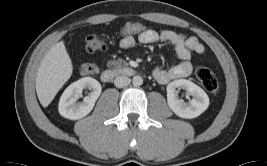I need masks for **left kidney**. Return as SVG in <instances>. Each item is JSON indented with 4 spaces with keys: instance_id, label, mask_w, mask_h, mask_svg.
I'll use <instances>...</instances> for the list:
<instances>
[{
    "instance_id": "5707ae66",
    "label": "left kidney",
    "mask_w": 267,
    "mask_h": 166,
    "mask_svg": "<svg viewBox=\"0 0 267 166\" xmlns=\"http://www.w3.org/2000/svg\"><path fill=\"white\" fill-rule=\"evenodd\" d=\"M186 90L192 99L185 103L176 95V89ZM167 102L170 109L179 117L192 119L202 114L209 106V97L198 85L186 79H179L167 85Z\"/></svg>"
}]
</instances>
